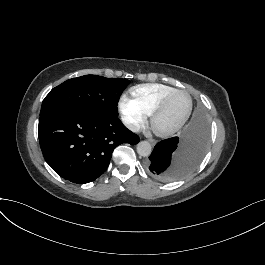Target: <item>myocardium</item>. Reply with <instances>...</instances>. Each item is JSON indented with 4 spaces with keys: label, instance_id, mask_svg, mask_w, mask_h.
Segmentation results:
<instances>
[{
    "label": "myocardium",
    "instance_id": "1",
    "mask_svg": "<svg viewBox=\"0 0 265 265\" xmlns=\"http://www.w3.org/2000/svg\"><path fill=\"white\" fill-rule=\"evenodd\" d=\"M178 93H185V90L183 89H174L168 94L164 95L156 104L154 111L152 113V119H151V124L154 132L161 136V137H167L174 133L175 131L179 130L181 127L185 125V123L188 121L191 111H192V101L191 99H188V105L186 108V111L182 118L173 126L170 127H161L159 125V116L161 114V111L163 107L165 106L166 102L175 94Z\"/></svg>",
    "mask_w": 265,
    "mask_h": 265
}]
</instances>
